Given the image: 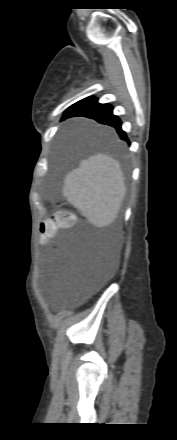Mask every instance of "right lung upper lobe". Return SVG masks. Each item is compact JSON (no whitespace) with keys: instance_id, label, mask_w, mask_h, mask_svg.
Here are the masks:
<instances>
[{"instance_id":"obj_1","label":"right lung upper lobe","mask_w":177,"mask_h":440,"mask_svg":"<svg viewBox=\"0 0 177 440\" xmlns=\"http://www.w3.org/2000/svg\"><path fill=\"white\" fill-rule=\"evenodd\" d=\"M92 99H94V98H92ZM95 100V102L94 103H96V99H94ZM66 118H68V117H66ZM66 118H62V119H66Z\"/></svg>"}]
</instances>
